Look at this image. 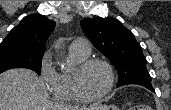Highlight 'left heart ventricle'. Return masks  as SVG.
Returning <instances> with one entry per match:
<instances>
[{"instance_id": "b2bd125f", "label": "left heart ventricle", "mask_w": 171, "mask_h": 110, "mask_svg": "<svg viewBox=\"0 0 171 110\" xmlns=\"http://www.w3.org/2000/svg\"><path fill=\"white\" fill-rule=\"evenodd\" d=\"M109 83V73L100 64L89 67L81 76V86L83 90L91 96L102 93Z\"/></svg>"}]
</instances>
